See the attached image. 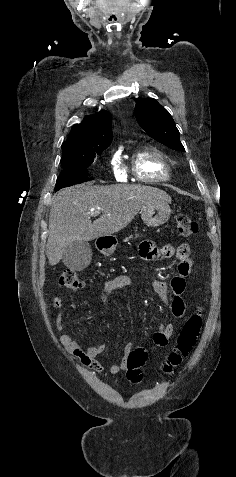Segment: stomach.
<instances>
[{"mask_svg":"<svg viewBox=\"0 0 236 477\" xmlns=\"http://www.w3.org/2000/svg\"><path fill=\"white\" fill-rule=\"evenodd\" d=\"M170 214V206L165 201L151 202L146 204L141 209L142 220L148 227H158L163 225L165 222L168 221ZM108 239L109 242H106L99 247V250L105 256H111L112 254H114L118 245L116 239L113 236L109 237Z\"/></svg>","mask_w":236,"mask_h":477,"instance_id":"0dacf381","label":"stomach"}]
</instances>
